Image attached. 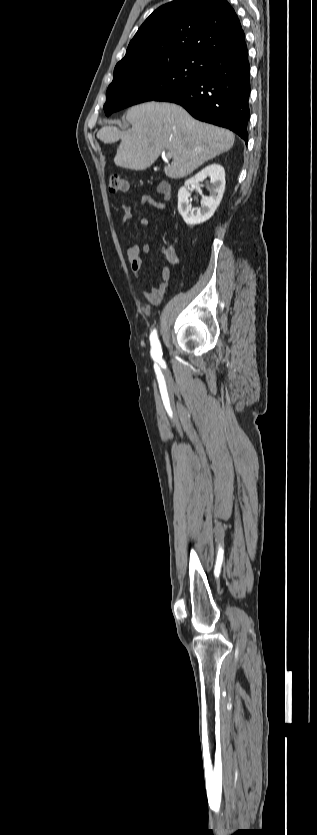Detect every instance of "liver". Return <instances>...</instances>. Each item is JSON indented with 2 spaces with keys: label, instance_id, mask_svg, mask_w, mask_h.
Segmentation results:
<instances>
[{
  "label": "liver",
  "instance_id": "liver-1",
  "mask_svg": "<svg viewBox=\"0 0 317 835\" xmlns=\"http://www.w3.org/2000/svg\"><path fill=\"white\" fill-rule=\"evenodd\" d=\"M126 120L132 128L125 132L104 126L97 133L105 144L121 140L115 165L144 170L167 150L173 161L164 172L172 179L191 174L204 162L228 151L235 140L229 130L195 120L172 103L152 101L134 106L127 111Z\"/></svg>",
  "mask_w": 317,
  "mask_h": 835
}]
</instances>
